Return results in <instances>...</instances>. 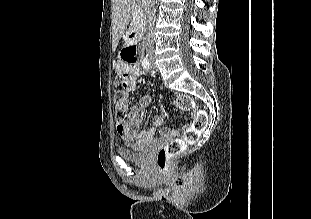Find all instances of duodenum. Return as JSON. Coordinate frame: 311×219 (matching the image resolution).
<instances>
[{"mask_svg": "<svg viewBox=\"0 0 311 219\" xmlns=\"http://www.w3.org/2000/svg\"><path fill=\"white\" fill-rule=\"evenodd\" d=\"M127 41L129 45V51L137 55V53L139 52L137 48V43L139 41V30L137 28H133L128 32Z\"/></svg>", "mask_w": 311, "mask_h": 219, "instance_id": "1", "label": "duodenum"}]
</instances>
